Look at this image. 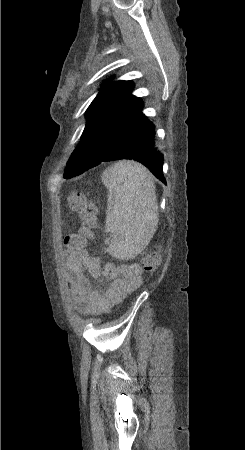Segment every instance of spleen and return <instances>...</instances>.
I'll list each match as a JSON object with an SVG mask.
<instances>
[{
	"label": "spleen",
	"mask_w": 245,
	"mask_h": 450,
	"mask_svg": "<svg viewBox=\"0 0 245 450\" xmlns=\"http://www.w3.org/2000/svg\"><path fill=\"white\" fill-rule=\"evenodd\" d=\"M108 189L105 230L114 236L106 251L115 258L137 256L152 238L157 222L155 186L146 167L121 161L102 174Z\"/></svg>",
	"instance_id": "obj_1"
}]
</instances>
